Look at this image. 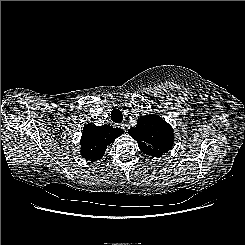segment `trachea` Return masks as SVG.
Segmentation results:
<instances>
[{
    "label": "trachea",
    "instance_id": "trachea-1",
    "mask_svg": "<svg viewBox=\"0 0 245 245\" xmlns=\"http://www.w3.org/2000/svg\"><path fill=\"white\" fill-rule=\"evenodd\" d=\"M111 120L115 123H120L123 120L122 112L118 109H114L111 112Z\"/></svg>",
    "mask_w": 245,
    "mask_h": 245
}]
</instances>
